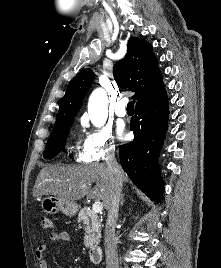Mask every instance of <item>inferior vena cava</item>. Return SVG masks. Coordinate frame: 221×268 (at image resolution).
Wrapping results in <instances>:
<instances>
[{
	"label": "inferior vena cava",
	"mask_w": 221,
	"mask_h": 268,
	"mask_svg": "<svg viewBox=\"0 0 221 268\" xmlns=\"http://www.w3.org/2000/svg\"><path fill=\"white\" fill-rule=\"evenodd\" d=\"M106 166L110 175V202L108 205V216L105 226V255L106 268H119L117 254V238L115 235L116 221L119 212V201L121 197L122 181L121 169L115 159L114 151L106 155Z\"/></svg>",
	"instance_id": "obj_1"
}]
</instances>
